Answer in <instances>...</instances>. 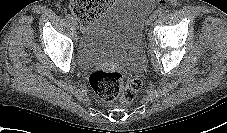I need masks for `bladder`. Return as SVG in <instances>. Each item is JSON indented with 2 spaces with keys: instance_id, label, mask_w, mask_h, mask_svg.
Returning a JSON list of instances; mask_svg holds the SVG:
<instances>
[{
  "instance_id": "obj_1",
  "label": "bladder",
  "mask_w": 227,
  "mask_h": 133,
  "mask_svg": "<svg viewBox=\"0 0 227 133\" xmlns=\"http://www.w3.org/2000/svg\"><path fill=\"white\" fill-rule=\"evenodd\" d=\"M154 0H115L82 31L77 44L81 66L119 64L141 70L145 63L142 46L146 19Z\"/></svg>"
}]
</instances>
